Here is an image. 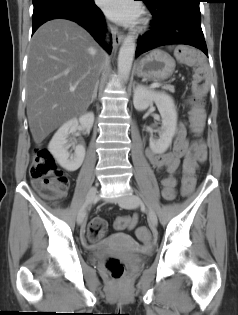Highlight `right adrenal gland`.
<instances>
[{
    "mask_svg": "<svg viewBox=\"0 0 238 315\" xmlns=\"http://www.w3.org/2000/svg\"><path fill=\"white\" fill-rule=\"evenodd\" d=\"M98 86H99V80H97L96 82V86H95V89H94V93H93V96L90 100V104L93 103V101L96 99L97 97V91H98Z\"/></svg>",
    "mask_w": 238,
    "mask_h": 315,
    "instance_id": "right-adrenal-gland-1",
    "label": "right adrenal gland"
}]
</instances>
